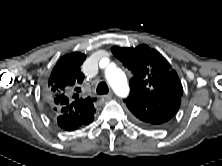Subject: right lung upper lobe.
I'll return each mask as SVG.
<instances>
[{
    "label": "right lung upper lobe",
    "mask_w": 222,
    "mask_h": 166,
    "mask_svg": "<svg viewBox=\"0 0 222 166\" xmlns=\"http://www.w3.org/2000/svg\"><path fill=\"white\" fill-rule=\"evenodd\" d=\"M86 55L72 52L62 56L45 83V96L57 114H66L80 124L90 122L95 114V98L80 97L76 92L84 80L80 67Z\"/></svg>",
    "instance_id": "right-lung-upper-lobe-1"
}]
</instances>
